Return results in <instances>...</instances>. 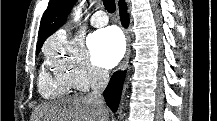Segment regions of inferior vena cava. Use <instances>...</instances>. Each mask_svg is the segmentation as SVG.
I'll use <instances>...</instances> for the list:
<instances>
[{"label": "inferior vena cava", "mask_w": 217, "mask_h": 121, "mask_svg": "<svg viewBox=\"0 0 217 121\" xmlns=\"http://www.w3.org/2000/svg\"><path fill=\"white\" fill-rule=\"evenodd\" d=\"M109 82L108 71L103 69H97L94 73L92 80V91L87 96L91 99L96 100L100 105H105L102 99V94Z\"/></svg>", "instance_id": "obj_1"}]
</instances>
